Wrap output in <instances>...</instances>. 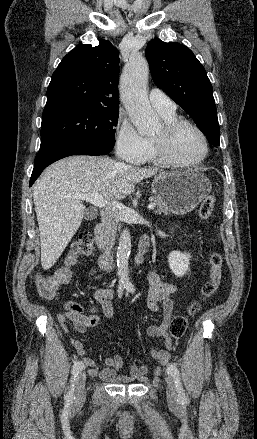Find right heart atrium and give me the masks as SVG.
<instances>
[{"label": "right heart atrium", "instance_id": "obj_1", "mask_svg": "<svg viewBox=\"0 0 257 439\" xmlns=\"http://www.w3.org/2000/svg\"><path fill=\"white\" fill-rule=\"evenodd\" d=\"M115 148L118 156L127 162H139L147 151V140L124 115H120L115 130Z\"/></svg>", "mask_w": 257, "mask_h": 439}]
</instances>
